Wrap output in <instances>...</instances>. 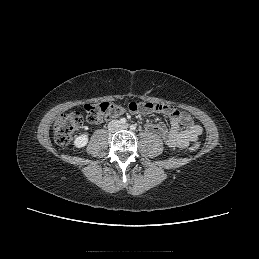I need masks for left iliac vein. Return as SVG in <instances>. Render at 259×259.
<instances>
[{
    "label": "left iliac vein",
    "instance_id": "1",
    "mask_svg": "<svg viewBox=\"0 0 259 259\" xmlns=\"http://www.w3.org/2000/svg\"><path fill=\"white\" fill-rule=\"evenodd\" d=\"M122 129H128L129 128V125L128 124H123L120 126Z\"/></svg>",
    "mask_w": 259,
    "mask_h": 259
}]
</instances>
